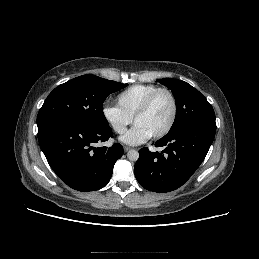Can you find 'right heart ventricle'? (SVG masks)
<instances>
[{"mask_svg": "<svg viewBox=\"0 0 259 259\" xmlns=\"http://www.w3.org/2000/svg\"><path fill=\"white\" fill-rule=\"evenodd\" d=\"M160 87L155 84H136L120 92L117 97L118 107L133 118L144 100Z\"/></svg>", "mask_w": 259, "mask_h": 259, "instance_id": "right-heart-ventricle-1", "label": "right heart ventricle"}]
</instances>
